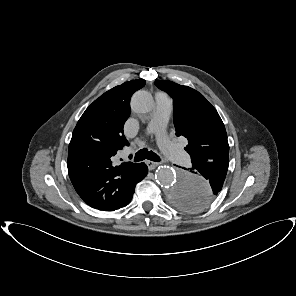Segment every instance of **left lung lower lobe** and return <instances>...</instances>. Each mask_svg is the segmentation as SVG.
<instances>
[{
	"label": "left lung lower lobe",
	"mask_w": 296,
	"mask_h": 296,
	"mask_svg": "<svg viewBox=\"0 0 296 296\" xmlns=\"http://www.w3.org/2000/svg\"><path fill=\"white\" fill-rule=\"evenodd\" d=\"M190 172L200 174L207 179L211 185L207 190L197 191L193 194L181 192L183 199L193 198L196 200L194 209H200L210 204L221 191L226 173L229 166V160H217L213 162H192Z\"/></svg>",
	"instance_id": "1"
}]
</instances>
